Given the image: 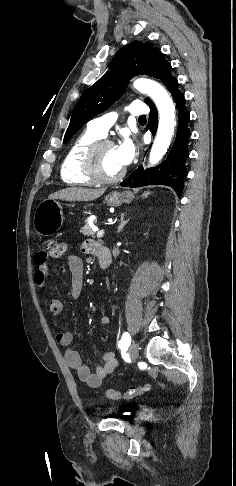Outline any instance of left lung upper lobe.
I'll use <instances>...</instances> for the list:
<instances>
[{"instance_id": "5c2ea615", "label": "left lung upper lobe", "mask_w": 236, "mask_h": 486, "mask_svg": "<svg viewBox=\"0 0 236 486\" xmlns=\"http://www.w3.org/2000/svg\"><path fill=\"white\" fill-rule=\"evenodd\" d=\"M107 71L96 83L81 96L74 108L70 125L63 143L70 138L92 117L106 110L124 92L128 81L137 75H149L165 84L171 76V65L163 53L151 42L133 41L124 46L114 56ZM151 100L145 99L149 104Z\"/></svg>"}]
</instances>
